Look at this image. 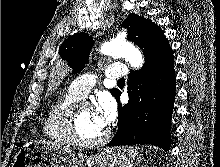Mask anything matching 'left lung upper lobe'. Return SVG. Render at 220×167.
I'll return each instance as SVG.
<instances>
[{
	"instance_id": "left-lung-upper-lobe-1",
	"label": "left lung upper lobe",
	"mask_w": 220,
	"mask_h": 167,
	"mask_svg": "<svg viewBox=\"0 0 220 167\" xmlns=\"http://www.w3.org/2000/svg\"><path fill=\"white\" fill-rule=\"evenodd\" d=\"M128 30L127 38L143 49L145 60L150 57L161 56L171 50L168 40L162 30L152 21L130 14L122 24ZM92 37L86 33H77L68 37L60 46L61 59L68 62L73 73L80 72L88 63V56L92 48ZM115 97L118 89L110 90Z\"/></svg>"
}]
</instances>
